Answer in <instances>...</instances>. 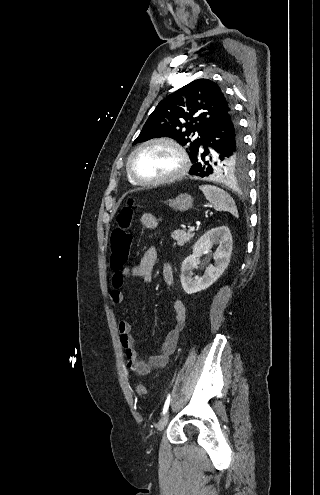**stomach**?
<instances>
[{"label": "stomach", "instance_id": "stomach-1", "mask_svg": "<svg viewBox=\"0 0 320 495\" xmlns=\"http://www.w3.org/2000/svg\"><path fill=\"white\" fill-rule=\"evenodd\" d=\"M168 205L177 211H187L193 206V198L188 194H180L168 201Z\"/></svg>", "mask_w": 320, "mask_h": 495}]
</instances>
